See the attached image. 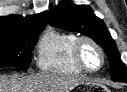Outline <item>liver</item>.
I'll return each mask as SVG.
<instances>
[{"label":"liver","instance_id":"liver-1","mask_svg":"<svg viewBox=\"0 0 127 92\" xmlns=\"http://www.w3.org/2000/svg\"><path fill=\"white\" fill-rule=\"evenodd\" d=\"M86 80L55 74L31 75L29 77L0 76V92H69Z\"/></svg>","mask_w":127,"mask_h":92}]
</instances>
